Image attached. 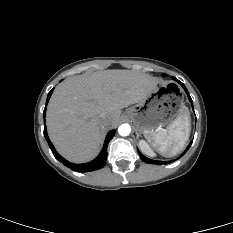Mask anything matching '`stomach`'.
<instances>
[{
  "label": "stomach",
  "mask_w": 233,
  "mask_h": 233,
  "mask_svg": "<svg viewBox=\"0 0 233 233\" xmlns=\"http://www.w3.org/2000/svg\"><path fill=\"white\" fill-rule=\"evenodd\" d=\"M183 104L184 93L177 84L159 82L144 100L128 109L127 115L139 131L150 133L172 122Z\"/></svg>",
  "instance_id": "obj_1"
}]
</instances>
